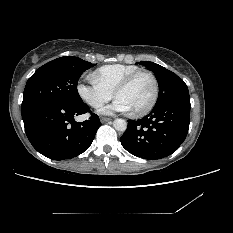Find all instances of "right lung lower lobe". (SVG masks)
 Returning <instances> with one entry per match:
<instances>
[{
	"instance_id": "98d812e1",
	"label": "right lung lower lobe",
	"mask_w": 233,
	"mask_h": 233,
	"mask_svg": "<svg viewBox=\"0 0 233 233\" xmlns=\"http://www.w3.org/2000/svg\"><path fill=\"white\" fill-rule=\"evenodd\" d=\"M86 112L90 109L83 102L70 105L53 100L21 109L29 141L38 152L53 160L71 159L89 148L101 122L94 113L84 122L74 120Z\"/></svg>"
}]
</instances>
